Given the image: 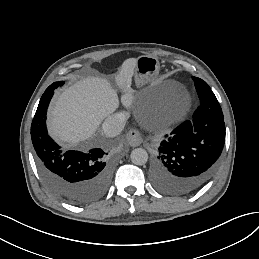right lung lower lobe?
<instances>
[{
	"instance_id": "98d812e1",
	"label": "right lung lower lobe",
	"mask_w": 259,
	"mask_h": 259,
	"mask_svg": "<svg viewBox=\"0 0 259 259\" xmlns=\"http://www.w3.org/2000/svg\"><path fill=\"white\" fill-rule=\"evenodd\" d=\"M54 91L45 92L31 124V139L36 151L39 172L59 198L85 205L101 198L112 180V165L108 153L100 148L89 152L62 151L48 135L46 114Z\"/></svg>"
}]
</instances>
